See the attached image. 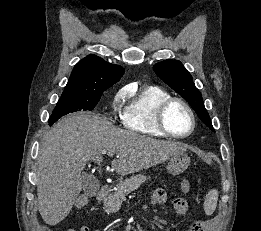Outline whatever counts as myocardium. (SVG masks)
Here are the masks:
<instances>
[{"label":"myocardium","instance_id":"1","mask_svg":"<svg viewBox=\"0 0 261 231\" xmlns=\"http://www.w3.org/2000/svg\"><path fill=\"white\" fill-rule=\"evenodd\" d=\"M174 103L181 104L182 106L185 107V109L189 113V116H190V119H191V128L185 134H181V135L175 134L167 126L166 113H167V110L169 109V107L171 105H173ZM157 125H158L159 129L164 134H166L167 136L177 138V139H183V138H187L188 136H190L193 133V131L195 130L196 117H195V114H194L192 107L185 100H183L182 98H178V97H170L169 99H167L163 103H161L158 107V110H157Z\"/></svg>","mask_w":261,"mask_h":231}]
</instances>
